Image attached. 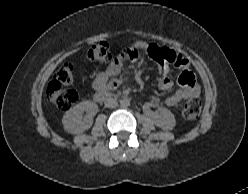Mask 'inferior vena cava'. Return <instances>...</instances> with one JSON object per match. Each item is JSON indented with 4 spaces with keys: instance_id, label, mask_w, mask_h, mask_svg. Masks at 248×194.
I'll return each mask as SVG.
<instances>
[{
    "instance_id": "inferior-vena-cava-1",
    "label": "inferior vena cava",
    "mask_w": 248,
    "mask_h": 194,
    "mask_svg": "<svg viewBox=\"0 0 248 194\" xmlns=\"http://www.w3.org/2000/svg\"><path fill=\"white\" fill-rule=\"evenodd\" d=\"M117 105H118V102L116 99L107 98L105 100V107H107V108H115V107H117Z\"/></svg>"
}]
</instances>
